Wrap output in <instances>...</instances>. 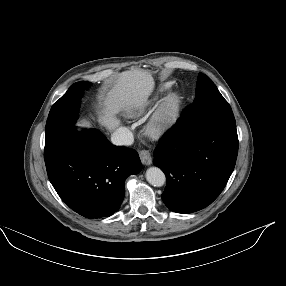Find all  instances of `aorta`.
<instances>
[{"label":"aorta","instance_id":"aorta-1","mask_svg":"<svg viewBox=\"0 0 286 286\" xmlns=\"http://www.w3.org/2000/svg\"><path fill=\"white\" fill-rule=\"evenodd\" d=\"M147 181L154 187H161L165 184V174L158 167H150L146 171Z\"/></svg>","mask_w":286,"mask_h":286}]
</instances>
